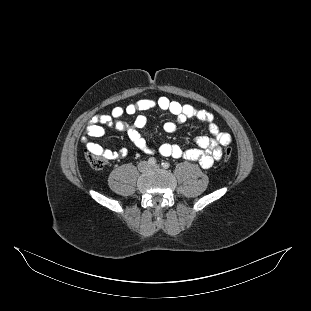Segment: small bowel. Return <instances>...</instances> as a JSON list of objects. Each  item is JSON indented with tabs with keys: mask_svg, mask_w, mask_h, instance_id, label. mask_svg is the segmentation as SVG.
<instances>
[{
	"mask_svg": "<svg viewBox=\"0 0 311 311\" xmlns=\"http://www.w3.org/2000/svg\"><path fill=\"white\" fill-rule=\"evenodd\" d=\"M155 108L167 111L175 118V121L164 123L163 129L165 132L172 133L176 130L177 124H183L188 119H196L207 124L210 136L196 137L195 142L198 147L193 149L183 150L180 146L170 143L161 144L156 150L150 148L141 134V129L147 123L146 116L138 115L131 125L124 121L123 117ZM108 129L127 134L131 142L147 154L157 153L161 156L196 161L203 168H210L216 161H219L222 158V146H226L231 142L230 134L219 129L210 112L189 104H182L164 96L157 99H141L125 107L118 106L110 114H97L89 120L81 138L87 150L101 153L106 159L125 157L127 155L126 149L111 151L90 140V138L104 136Z\"/></svg>",
	"mask_w": 311,
	"mask_h": 311,
	"instance_id": "1",
	"label": "small bowel"
}]
</instances>
